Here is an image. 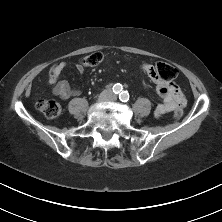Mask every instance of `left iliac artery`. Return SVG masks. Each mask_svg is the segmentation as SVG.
<instances>
[{
	"mask_svg": "<svg viewBox=\"0 0 222 222\" xmlns=\"http://www.w3.org/2000/svg\"><path fill=\"white\" fill-rule=\"evenodd\" d=\"M119 99L122 102H127L129 100V93L127 91L121 92L120 95H119Z\"/></svg>",
	"mask_w": 222,
	"mask_h": 222,
	"instance_id": "left-iliac-artery-1",
	"label": "left iliac artery"
}]
</instances>
